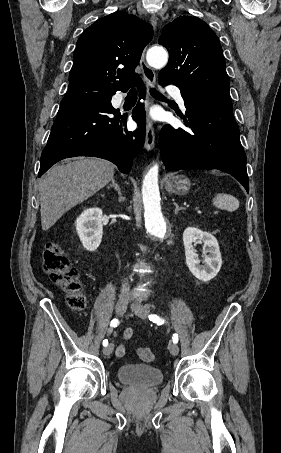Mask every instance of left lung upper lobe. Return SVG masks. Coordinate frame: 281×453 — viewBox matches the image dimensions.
<instances>
[{"instance_id":"1","label":"left lung upper lobe","mask_w":281,"mask_h":453,"mask_svg":"<svg viewBox=\"0 0 281 453\" xmlns=\"http://www.w3.org/2000/svg\"><path fill=\"white\" fill-rule=\"evenodd\" d=\"M159 44L169 61L160 80L176 85L183 99H230V82L219 39L201 19L179 16L163 27Z\"/></svg>"}]
</instances>
